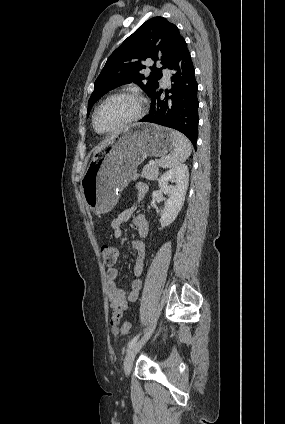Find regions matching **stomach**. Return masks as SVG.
I'll use <instances>...</instances> for the list:
<instances>
[{
    "instance_id": "1",
    "label": "stomach",
    "mask_w": 285,
    "mask_h": 424,
    "mask_svg": "<svg viewBox=\"0 0 285 424\" xmlns=\"http://www.w3.org/2000/svg\"><path fill=\"white\" fill-rule=\"evenodd\" d=\"M172 132L158 125L135 124L96 152L81 180L87 206L99 214L111 211L121 191L136 178L138 165L173 149Z\"/></svg>"
}]
</instances>
